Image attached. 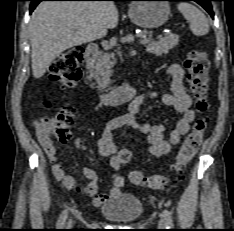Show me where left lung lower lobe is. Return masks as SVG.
Listing matches in <instances>:
<instances>
[{"label": "left lung lower lobe", "mask_w": 234, "mask_h": 231, "mask_svg": "<svg viewBox=\"0 0 234 231\" xmlns=\"http://www.w3.org/2000/svg\"><path fill=\"white\" fill-rule=\"evenodd\" d=\"M125 1H133V0H125ZM169 1H195L200 4L210 15L214 18L211 1L214 0H169Z\"/></svg>", "instance_id": "left-lung-lower-lobe-1"}]
</instances>
